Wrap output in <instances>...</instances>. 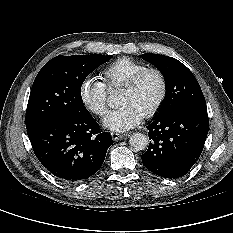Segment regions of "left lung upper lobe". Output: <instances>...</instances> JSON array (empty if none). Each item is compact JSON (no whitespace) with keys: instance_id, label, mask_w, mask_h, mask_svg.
<instances>
[{"instance_id":"1","label":"left lung upper lobe","mask_w":233,"mask_h":233,"mask_svg":"<svg viewBox=\"0 0 233 233\" xmlns=\"http://www.w3.org/2000/svg\"><path fill=\"white\" fill-rule=\"evenodd\" d=\"M143 59L164 76L166 98L157 116L185 107L206 108L202 90L192 72L175 58L145 53Z\"/></svg>"}]
</instances>
